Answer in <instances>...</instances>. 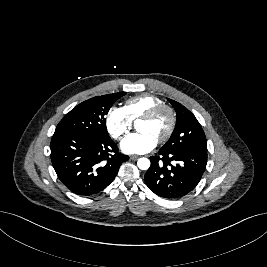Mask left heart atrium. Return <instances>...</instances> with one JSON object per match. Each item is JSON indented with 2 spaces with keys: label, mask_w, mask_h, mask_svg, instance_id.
<instances>
[{
  "label": "left heart atrium",
  "mask_w": 267,
  "mask_h": 267,
  "mask_svg": "<svg viewBox=\"0 0 267 267\" xmlns=\"http://www.w3.org/2000/svg\"><path fill=\"white\" fill-rule=\"evenodd\" d=\"M158 140L144 132L130 134L121 142V149L127 154H144L157 145Z\"/></svg>",
  "instance_id": "obj_1"
}]
</instances>
